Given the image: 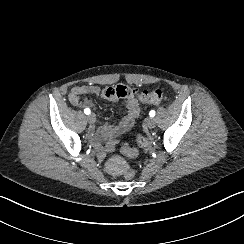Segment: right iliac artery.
I'll use <instances>...</instances> for the list:
<instances>
[{
    "label": "right iliac artery",
    "instance_id": "1",
    "mask_svg": "<svg viewBox=\"0 0 244 244\" xmlns=\"http://www.w3.org/2000/svg\"><path fill=\"white\" fill-rule=\"evenodd\" d=\"M90 109L89 108H86V109H84V113L86 114V115H88V114H90Z\"/></svg>",
    "mask_w": 244,
    "mask_h": 244
}]
</instances>
